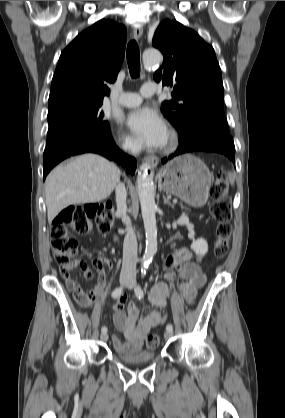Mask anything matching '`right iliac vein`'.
I'll list each match as a JSON object with an SVG mask.
<instances>
[{"label":"right iliac vein","instance_id":"obj_1","mask_svg":"<svg viewBox=\"0 0 285 418\" xmlns=\"http://www.w3.org/2000/svg\"><path fill=\"white\" fill-rule=\"evenodd\" d=\"M130 280V276L129 275H124L120 277V283H126ZM100 338L102 341H107L108 340V334L107 332H102L100 335Z\"/></svg>","mask_w":285,"mask_h":418}]
</instances>
